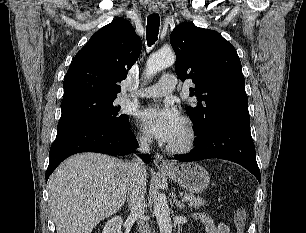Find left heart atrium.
<instances>
[{"label": "left heart atrium", "mask_w": 306, "mask_h": 233, "mask_svg": "<svg viewBox=\"0 0 306 233\" xmlns=\"http://www.w3.org/2000/svg\"><path fill=\"white\" fill-rule=\"evenodd\" d=\"M144 129L155 138L171 143L184 126L180 112L170 102L154 105L140 113Z\"/></svg>", "instance_id": "left-heart-atrium-1"}]
</instances>
